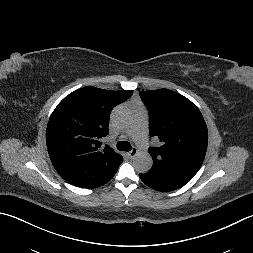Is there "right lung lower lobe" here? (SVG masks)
I'll list each match as a JSON object with an SVG mask.
<instances>
[{
    "mask_svg": "<svg viewBox=\"0 0 253 253\" xmlns=\"http://www.w3.org/2000/svg\"><path fill=\"white\" fill-rule=\"evenodd\" d=\"M122 161H123V159H122ZM122 161H121V163H122ZM121 163H120V164H121ZM120 164H119V165H120ZM119 165H118V167H119ZM118 167L109 175V177L104 181L103 184L107 183V182L115 175V173L117 172ZM103 184H101V185H103ZM101 185H100V186H101Z\"/></svg>",
    "mask_w": 253,
    "mask_h": 253,
    "instance_id": "obj_1",
    "label": "right lung lower lobe"
}]
</instances>
